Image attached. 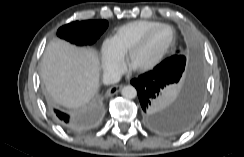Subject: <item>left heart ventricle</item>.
I'll return each instance as SVG.
<instances>
[{"label":"left heart ventricle","instance_id":"left-heart-ventricle-1","mask_svg":"<svg viewBox=\"0 0 244 157\" xmlns=\"http://www.w3.org/2000/svg\"><path fill=\"white\" fill-rule=\"evenodd\" d=\"M173 31L162 27L155 30L135 54L132 65L137 68L152 62L172 41Z\"/></svg>","mask_w":244,"mask_h":157}]
</instances>
